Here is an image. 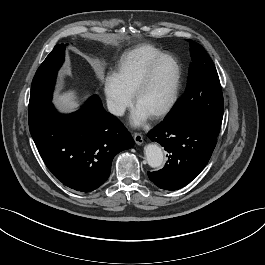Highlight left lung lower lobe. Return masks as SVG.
I'll return each mask as SVG.
<instances>
[{"mask_svg":"<svg viewBox=\"0 0 265 265\" xmlns=\"http://www.w3.org/2000/svg\"><path fill=\"white\" fill-rule=\"evenodd\" d=\"M218 134L207 125L188 118L164 120L148 133L169 153L165 167L148 172L159 188L177 190L190 183L206 166Z\"/></svg>","mask_w":265,"mask_h":265,"instance_id":"left-lung-lower-lobe-1","label":"left lung lower lobe"}]
</instances>
